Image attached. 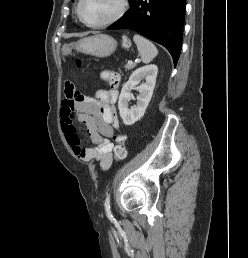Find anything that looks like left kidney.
Segmentation results:
<instances>
[{
    "mask_svg": "<svg viewBox=\"0 0 248 258\" xmlns=\"http://www.w3.org/2000/svg\"><path fill=\"white\" fill-rule=\"evenodd\" d=\"M158 67L154 64L146 65L136 69L129 80L124 84L118 101L120 117L127 126L133 125L140 120L151 100L153 90L156 83ZM146 82L139 87V96L137 97V105L129 109L128 102L131 98V91L139 84L141 79Z\"/></svg>",
    "mask_w": 248,
    "mask_h": 258,
    "instance_id": "5707ae66",
    "label": "left kidney"
}]
</instances>
